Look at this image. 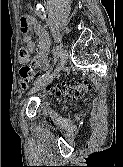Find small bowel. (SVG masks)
Returning a JSON list of instances; mask_svg holds the SVG:
<instances>
[{
  "mask_svg": "<svg viewBox=\"0 0 123 167\" xmlns=\"http://www.w3.org/2000/svg\"><path fill=\"white\" fill-rule=\"evenodd\" d=\"M21 34L23 43L26 44L30 52H35V57L32 59L31 64L33 67H40L48 69L47 51L50 44V38L43 27L30 15H25L21 18L20 22ZM33 27L37 34V42H34L28 33V29ZM22 88L27 87V83L22 82Z\"/></svg>",
  "mask_w": 123,
  "mask_h": 167,
  "instance_id": "obj_1",
  "label": "small bowel"
}]
</instances>
